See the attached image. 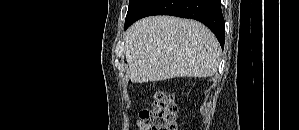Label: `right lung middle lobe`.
<instances>
[{
    "label": "right lung middle lobe",
    "instance_id": "dd1d6c3e",
    "mask_svg": "<svg viewBox=\"0 0 299 130\" xmlns=\"http://www.w3.org/2000/svg\"><path fill=\"white\" fill-rule=\"evenodd\" d=\"M147 0H130L124 28L131 22L134 14Z\"/></svg>",
    "mask_w": 299,
    "mask_h": 130
}]
</instances>
